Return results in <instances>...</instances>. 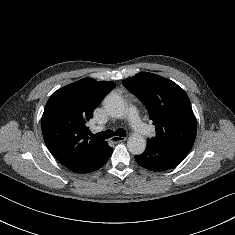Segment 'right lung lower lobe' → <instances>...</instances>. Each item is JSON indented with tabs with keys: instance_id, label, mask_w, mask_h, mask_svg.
Returning a JSON list of instances; mask_svg holds the SVG:
<instances>
[{
	"instance_id": "98d812e1",
	"label": "right lung lower lobe",
	"mask_w": 235,
	"mask_h": 235,
	"mask_svg": "<svg viewBox=\"0 0 235 235\" xmlns=\"http://www.w3.org/2000/svg\"><path fill=\"white\" fill-rule=\"evenodd\" d=\"M113 149L106 143L100 148L88 161V163L81 168L78 173H89L101 168L110 158Z\"/></svg>"
}]
</instances>
